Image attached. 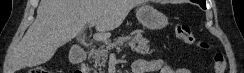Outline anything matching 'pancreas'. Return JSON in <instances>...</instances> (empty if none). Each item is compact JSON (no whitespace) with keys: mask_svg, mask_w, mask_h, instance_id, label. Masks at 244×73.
Returning <instances> with one entry per match:
<instances>
[{"mask_svg":"<svg viewBox=\"0 0 244 73\" xmlns=\"http://www.w3.org/2000/svg\"><path fill=\"white\" fill-rule=\"evenodd\" d=\"M123 45H128L132 51L140 55H150L154 51L150 50L149 41L143 38L141 34L135 36H121L109 43L106 48H99L92 52V58L95 61V64L104 66L110 50L116 48L117 51H120Z\"/></svg>","mask_w":244,"mask_h":73,"instance_id":"cf45deb5","label":"pancreas"}]
</instances>
